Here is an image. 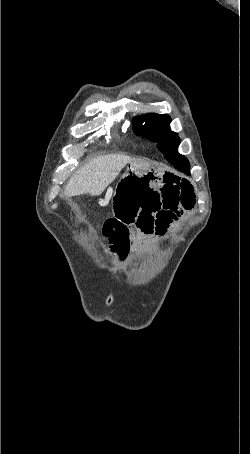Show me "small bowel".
<instances>
[{"mask_svg":"<svg viewBox=\"0 0 250 454\" xmlns=\"http://www.w3.org/2000/svg\"><path fill=\"white\" fill-rule=\"evenodd\" d=\"M114 216L103 225V235L121 257L132 244L130 226L143 234L163 235L195 204L192 183L185 178L153 172L130 171L113 190Z\"/></svg>","mask_w":250,"mask_h":454,"instance_id":"1","label":"small bowel"}]
</instances>
